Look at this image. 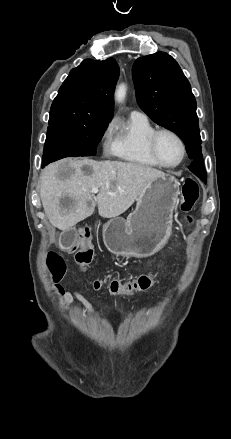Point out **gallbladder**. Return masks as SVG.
Wrapping results in <instances>:
<instances>
[{
    "label": "gallbladder",
    "mask_w": 231,
    "mask_h": 439,
    "mask_svg": "<svg viewBox=\"0 0 231 439\" xmlns=\"http://www.w3.org/2000/svg\"><path fill=\"white\" fill-rule=\"evenodd\" d=\"M77 231L75 228H71L67 231H63L59 237V245L62 249L68 250L74 244L76 240Z\"/></svg>",
    "instance_id": "bac80fb5"
}]
</instances>
